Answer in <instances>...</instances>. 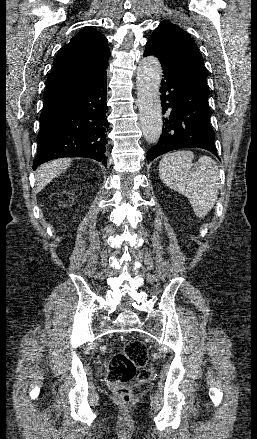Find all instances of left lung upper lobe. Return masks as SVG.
<instances>
[{
  "label": "left lung upper lobe",
  "mask_w": 257,
  "mask_h": 439,
  "mask_svg": "<svg viewBox=\"0 0 257 439\" xmlns=\"http://www.w3.org/2000/svg\"><path fill=\"white\" fill-rule=\"evenodd\" d=\"M146 48H150L162 63L182 71L208 92L202 55L194 40L180 27L162 21L150 36Z\"/></svg>",
  "instance_id": "5c2ea615"
}]
</instances>
